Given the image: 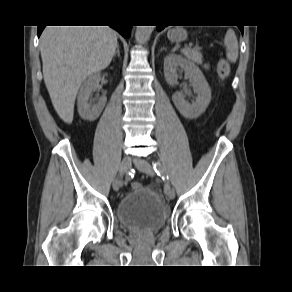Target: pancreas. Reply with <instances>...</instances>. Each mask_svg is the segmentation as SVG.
Masks as SVG:
<instances>
[{
  "label": "pancreas",
  "instance_id": "1",
  "mask_svg": "<svg viewBox=\"0 0 292 292\" xmlns=\"http://www.w3.org/2000/svg\"><path fill=\"white\" fill-rule=\"evenodd\" d=\"M183 53L187 58H189L193 62H195L197 64H202V62H203L202 58L203 57H202V54L198 50L187 48V50L183 51Z\"/></svg>",
  "mask_w": 292,
  "mask_h": 292
}]
</instances>
